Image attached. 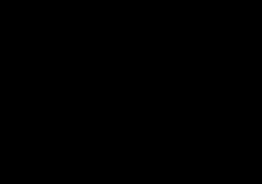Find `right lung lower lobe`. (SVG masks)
<instances>
[{
  "label": "right lung lower lobe",
  "instance_id": "98d812e1",
  "mask_svg": "<svg viewBox=\"0 0 262 184\" xmlns=\"http://www.w3.org/2000/svg\"><path fill=\"white\" fill-rule=\"evenodd\" d=\"M79 100L68 94H61L56 97L53 101L52 106V118L53 121L58 125L59 130L63 131V138L67 140L68 143L75 144L79 143L80 146H86L91 142L98 141L100 137L104 134L105 128L99 127L96 129H91L90 127L82 126L76 121L74 117V108L78 107ZM79 139V142L77 141Z\"/></svg>",
  "mask_w": 262,
  "mask_h": 184
}]
</instances>
